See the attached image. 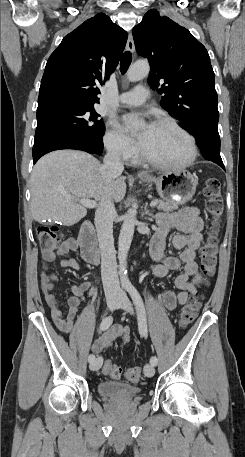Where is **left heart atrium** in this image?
Returning <instances> with one entry per match:
<instances>
[{
    "label": "left heart atrium",
    "instance_id": "left-heart-atrium-1",
    "mask_svg": "<svg viewBox=\"0 0 245 457\" xmlns=\"http://www.w3.org/2000/svg\"><path fill=\"white\" fill-rule=\"evenodd\" d=\"M139 115L138 114H128L124 116L123 118V123L125 127H132L133 124L137 121ZM153 127L151 125H147L146 129L144 132L141 134V136L138 139V145L139 147L142 146L146 140L148 139L149 135L153 131Z\"/></svg>",
    "mask_w": 245,
    "mask_h": 457
}]
</instances>
